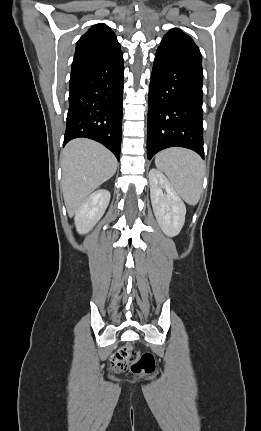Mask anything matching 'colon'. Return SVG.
Segmentation results:
<instances>
[{
  "mask_svg": "<svg viewBox=\"0 0 261 431\" xmlns=\"http://www.w3.org/2000/svg\"><path fill=\"white\" fill-rule=\"evenodd\" d=\"M111 367L116 372L129 370L135 377H141L154 372L155 359L149 353H139L131 346L120 348L111 356Z\"/></svg>",
  "mask_w": 261,
  "mask_h": 431,
  "instance_id": "colon-1",
  "label": "colon"
}]
</instances>
